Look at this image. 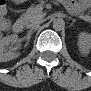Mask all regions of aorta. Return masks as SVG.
<instances>
[{
    "mask_svg": "<svg viewBox=\"0 0 91 91\" xmlns=\"http://www.w3.org/2000/svg\"><path fill=\"white\" fill-rule=\"evenodd\" d=\"M65 27V22L62 18H57L53 21V29L56 31H61Z\"/></svg>",
    "mask_w": 91,
    "mask_h": 91,
    "instance_id": "obj_1",
    "label": "aorta"
}]
</instances>
